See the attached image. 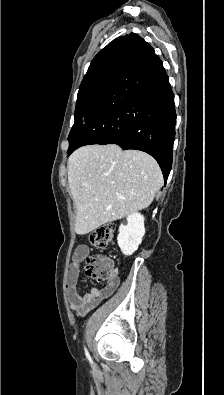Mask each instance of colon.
<instances>
[{
  "mask_svg": "<svg viewBox=\"0 0 224 395\" xmlns=\"http://www.w3.org/2000/svg\"><path fill=\"white\" fill-rule=\"evenodd\" d=\"M115 229L111 225L101 226L88 235L90 244L96 249H104L113 239ZM86 274L97 282L112 281L117 276V269L111 262L102 257H88Z\"/></svg>",
  "mask_w": 224,
  "mask_h": 395,
  "instance_id": "colon-1",
  "label": "colon"
}]
</instances>
